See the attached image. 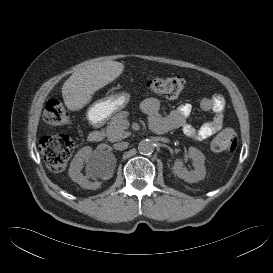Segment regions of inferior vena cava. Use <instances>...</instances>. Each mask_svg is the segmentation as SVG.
Returning <instances> with one entry per match:
<instances>
[{
  "instance_id": "inferior-vena-cava-1",
  "label": "inferior vena cava",
  "mask_w": 273,
  "mask_h": 273,
  "mask_svg": "<svg viewBox=\"0 0 273 273\" xmlns=\"http://www.w3.org/2000/svg\"><path fill=\"white\" fill-rule=\"evenodd\" d=\"M129 143L128 142H118L114 144V149L116 150H125L128 148Z\"/></svg>"
}]
</instances>
